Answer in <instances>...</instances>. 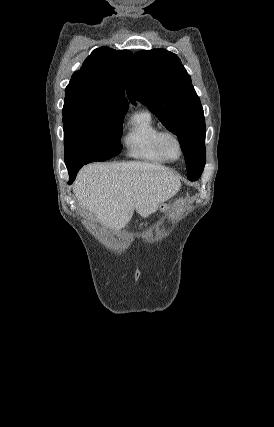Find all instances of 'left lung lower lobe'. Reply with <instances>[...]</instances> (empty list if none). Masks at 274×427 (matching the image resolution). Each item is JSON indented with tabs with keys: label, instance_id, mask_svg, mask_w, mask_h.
I'll use <instances>...</instances> for the list:
<instances>
[{
	"label": "left lung lower lobe",
	"instance_id": "0a47b994",
	"mask_svg": "<svg viewBox=\"0 0 274 427\" xmlns=\"http://www.w3.org/2000/svg\"><path fill=\"white\" fill-rule=\"evenodd\" d=\"M198 178H199V177H189V176H188V179H189V180H191V181H195V180H197Z\"/></svg>",
	"mask_w": 274,
	"mask_h": 427
}]
</instances>
